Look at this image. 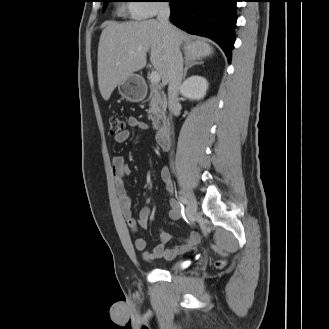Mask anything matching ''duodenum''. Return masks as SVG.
<instances>
[{
  "label": "duodenum",
  "instance_id": "duodenum-1",
  "mask_svg": "<svg viewBox=\"0 0 329 329\" xmlns=\"http://www.w3.org/2000/svg\"><path fill=\"white\" fill-rule=\"evenodd\" d=\"M157 142L163 149H169L172 145V132L168 120L163 121L157 130Z\"/></svg>",
  "mask_w": 329,
  "mask_h": 329
}]
</instances>
